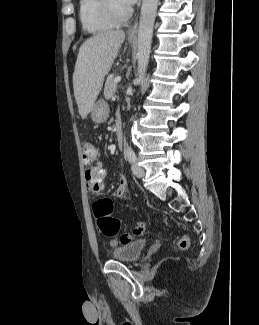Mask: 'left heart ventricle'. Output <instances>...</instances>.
<instances>
[{"label": "left heart ventricle", "instance_id": "1", "mask_svg": "<svg viewBox=\"0 0 259 325\" xmlns=\"http://www.w3.org/2000/svg\"><path fill=\"white\" fill-rule=\"evenodd\" d=\"M116 7L119 9V10H124L127 6L122 2V0H113Z\"/></svg>", "mask_w": 259, "mask_h": 325}]
</instances>
